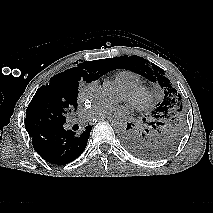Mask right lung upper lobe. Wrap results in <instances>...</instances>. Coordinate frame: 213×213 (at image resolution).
<instances>
[{"label": "right lung upper lobe", "mask_w": 213, "mask_h": 213, "mask_svg": "<svg viewBox=\"0 0 213 213\" xmlns=\"http://www.w3.org/2000/svg\"><path fill=\"white\" fill-rule=\"evenodd\" d=\"M105 61H106L105 59L86 61V62L78 64L77 67H74V68L86 70L91 75L95 76L97 79L101 77L102 75H104L105 73H107L108 71H110L109 67H107L105 64Z\"/></svg>", "instance_id": "1"}]
</instances>
